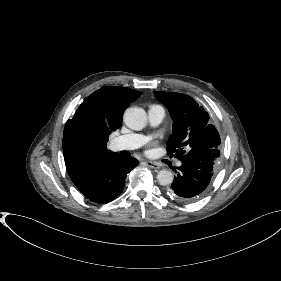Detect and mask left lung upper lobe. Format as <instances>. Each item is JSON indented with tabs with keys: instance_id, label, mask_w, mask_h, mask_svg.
I'll list each match as a JSON object with an SVG mask.
<instances>
[{
	"instance_id": "5c2ea615",
	"label": "left lung upper lobe",
	"mask_w": 281,
	"mask_h": 281,
	"mask_svg": "<svg viewBox=\"0 0 281 281\" xmlns=\"http://www.w3.org/2000/svg\"><path fill=\"white\" fill-rule=\"evenodd\" d=\"M164 104L173 120V133L167 143V152L180 160L192 148H215L220 145V136L210 124L209 115L190 96L181 93L153 91Z\"/></svg>"
}]
</instances>
